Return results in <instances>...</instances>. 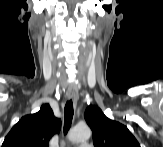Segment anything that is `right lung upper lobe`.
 I'll return each mask as SVG.
<instances>
[{
  "mask_svg": "<svg viewBox=\"0 0 163 147\" xmlns=\"http://www.w3.org/2000/svg\"><path fill=\"white\" fill-rule=\"evenodd\" d=\"M61 120L56 118L48 104L22 117L6 136L2 147H48L50 138L59 132Z\"/></svg>",
  "mask_w": 163,
  "mask_h": 147,
  "instance_id": "1",
  "label": "right lung upper lobe"
}]
</instances>
